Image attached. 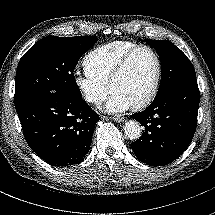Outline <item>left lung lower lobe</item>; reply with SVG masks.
Segmentation results:
<instances>
[{"label": "left lung lower lobe", "instance_id": "1", "mask_svg": "<svg viewBox=\"0 0 215 215\" xmlns=\"http://www.w3.org/2000/svg\"><path fill=\"white\" fill-rule=\"evenodd\" d=\"M200 94L196 78L157 95L145 111L130 117L145 130L131 144L139 161L164 166L176 160L191 143L197 124Z\"/></svg>", "mask_w": 215, "mask_h": 215}]
</instances>
